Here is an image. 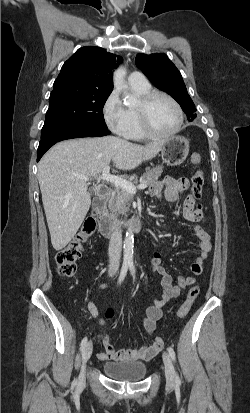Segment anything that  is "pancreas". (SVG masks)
Wrapping results in <instances>:
<instances>
[{"label": "pancreas", "mask_w": 250, "mask_h": 413, "mask_svg": "<svg viewBox=\"0 0 250 413\" xmlns=\"http://www.w3.org/2000/svg\"><path fill=\"white\" fill-rule=\"evenodd\" d=\"M163 172V166L157 165L152 169H147L146 173L141 176L143 182H146L147 185H152L155 183ZM138 180L135 179L134 183H137ZM133 201V194L125 191L122 188H118L115 191V195L109 201V209L112 211L111 216L117 212L122 215H126L130 211V204Z\"/></svg>", "instance_id": "1"}]
</instances>
